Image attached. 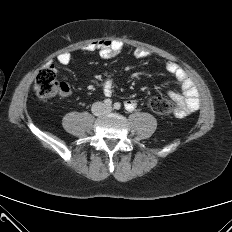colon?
I'll list each match as a JSON object with an SVG mask.
<instances>
[{
    "label": "colon",
    "mask_w": 232,
    "mask_h": 232,
    "mask_svg": "<svg viewBox=\"0 0 232 232\" xmlns=\"http://www.w3.org/2000/svg\"><path fill=\"white\" fill-rule=\"evenodd\" d=\"M37 95L42 99L51 98L63 91V85L57 81L52 67H44L39 70L35 79ZM150 109L162 116L173 113V105L170 100L162 96H153L149 100Z\"/></svg>",
    "instance_id": "obj_1"
}]
</instances>
